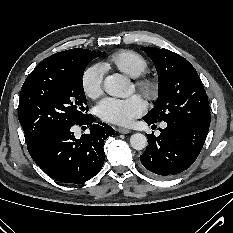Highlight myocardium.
I'll list each match as a JSON object with an SVG mask.
<instances>
[{
	"mask_svg": "<svg viewBox=\"0 0 233 233\" xmlns=\"http://www.w3.org/2000/svg\"><path fill=\"white\" fill-rule=\"evenodd\" d=\"M136 87L148 99H154L158 94V82L150 76H140L136 81Z\"/></svg>",
	"mask_w": 233,
	"mask_h": 233,
	"instance_id": "obj_1",
	"label": "myocardium"
}]
</instances>
